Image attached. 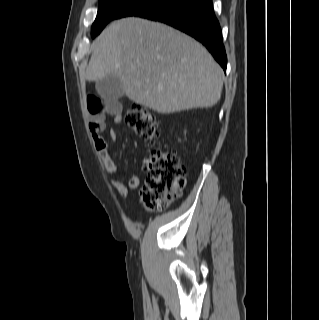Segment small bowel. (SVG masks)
Instances as JSON below:
<instances>
[{"label":"small bowel","mask_w":319,"mask_h":320,"mask_svg":"<svg viewBox=\"0 0 319 320\" xmlns=\"http://www.w3.org/2000/svg\"><path fill=\"white\" fill-rule=\"evenodd\" d=\"M87 110L90 115L89 129L91 132L92 141L94 147L98 151L100 159L111 174H123V172L111 158L109 153V142L103 135L107 130L105 122L107 115H111L116 124L121 123L122 116L120 105L115 102H106L103 105L98 98L94 96H88ZM109 136L112 141L116 140L117 135L114 130H109ZM111 183L118 194L124 196L126 195L128 189H135L139 186L140 179L137 176H131L128 178L127 184L120 180H112Z\"/></svg>","instance_id":"c3829d8e"}]
</instances>
